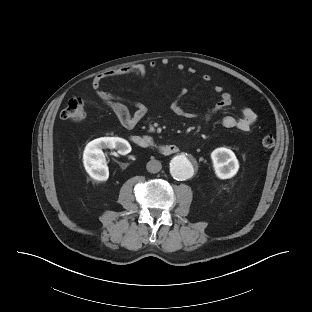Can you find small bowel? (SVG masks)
<instances>
[{"label": "small bowel", "mask_w": 312, "mask_h": 312, "mask_svg": "<svg viewBox=\"0 0 312 312\" xmlns=\"http://www.w3.org/2000/svg\"><path fill=\"white\" fill-rule=\"evenodd\" d=\"M157 63L152 61L148 66L143 64H133L125 66L119 69L111 70L94 77L92 81V88L95 90L100 100L112 110L116 115L121 125L127 129H133L138 123L146 116L148 112L147 106L139 101H131L126 99H118L115 95L107 92L101 88L102 82L109 78H115L125 75H134L137 77H144L147 75L149 69H156ZM181 70L182 66H178ZM210 76L203 75L202 81L208 83ZM214 92L219 94V99L216 101L214 106L208 110L201 118L205 121L212 119L223 109L227 108L232 103L231 95L223 91V87L216 85L213 88ZM185 93V89L181 90V95ZM128 105L133 107V111H130ZM171 110L174 114L180 117H196L195 115L188 114L178 103L175 101L171 104ZM257 121V114L249 107H244L241 110L239 117L231 115L224 116L222 119V125L228 129H238L241 131H249L255 122Z\"/></svg>", "instance_id": "1"}]
</instances>
